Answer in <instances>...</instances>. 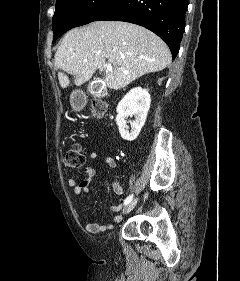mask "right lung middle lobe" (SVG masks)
<instances>
[{"label": "right lung middle lobe", "instance_id": "dd1d6c3e", "mask_svg": "<svg viewBox=\"0 0 240 281\" xmlns=\"http://www.w3.org/2000/svg\"><path fill=\"white\" fill-rule=\"evenodd\" d=\"M117 0H56L54 40L67 30L95 21Z\"/></svg>", "mask_w": 240, "mask_h": 281}]
</instances>
